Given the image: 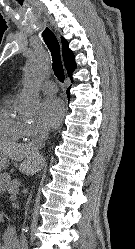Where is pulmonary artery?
Masks as SVG:
<instances>
[{
	"label": "pulmonary artery",
	"mask_w": 135,
	"mask_h": 249,
	"mask_svg": "<svg viewBox=\"0 0 135 249\" xmlns=\"http://www.w3.org/2000/svg\"><path fill=\"white\" fill-rule=\"evenodd\" d=\"M40 89L45 94H54L57 92V85L53 81H47L40 86Z\"/></svg>",
	"instance_id": "obj_1"
}]
</instances>
